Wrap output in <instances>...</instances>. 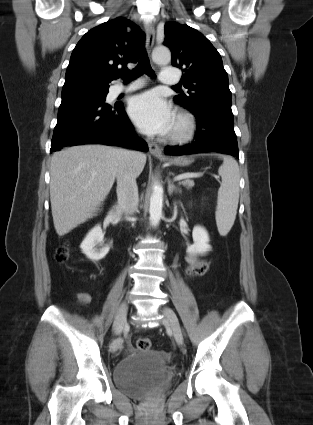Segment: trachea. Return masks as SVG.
Instances as JSON below:
<instances>
[{
	"label": "trachea",
	"mask_w": 313,
	"mask_h": 425,
	"mask_svg": "<svg viewBox=\"0 0 313 425\" xmlns=\"http://www.w3.org/2000/svg\"><path fill=\"white\" fill-rule=\"evenodd\" d=\"M142 74H147L150 77H155V73L153 69L151 68L150 61L145 49L142 50L141 59L138 65L132 71H129L128 73L122 75V79L125 82H129L136 79ZM173 87L180 88L179 86H173Z\"/></svg>",
	"instance_id": "1"
}]
</instances>
